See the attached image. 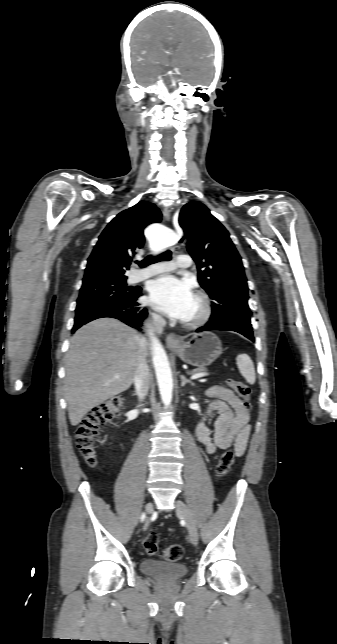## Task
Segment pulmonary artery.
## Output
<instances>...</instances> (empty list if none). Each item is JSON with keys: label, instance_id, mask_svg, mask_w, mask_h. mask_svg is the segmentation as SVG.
I'll return each instance as SVG.
<instances>
[{"label": "pulmonary artery", "instance_id": "pulmonary-artery-1", "mask_svg": "<svg viewBox=\"0 0 337 644\" xmlns=\"http://www.w3.org/2000/svg\"><path fill=\"white\" fill-rule=\"evenodd\" d=\"M191 265V257L186 254L178 255L175 262H162L149 266L146 269L134 271L130 279L132 282H138L148 277L170 271L176 267L187 268Z\"/></svg>", "mask_w": 337, "mask_h": 644}]
</instances>
